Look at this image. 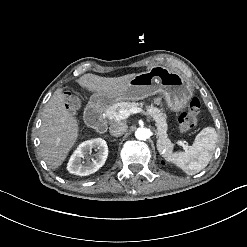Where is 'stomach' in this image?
<instances>
[{"label": "stomach", "mask_w": 247, "mask_h": 247, "mask_svg": "<svg viewBox=\"0 0 247 247\" xmlns=\"http://www.w3.org/2000/svg\"><path fill=\"white\" fill-rule=\"evenodd\" d=\"M164 94L168 105L181 109L192 97L190 82L172 68L153 66L136 74L120 90H100L91 95L89 105L103 111L119 101H140L148 96Z\"/></svg>", "instance_id": "obj_1"}]
</instances>
